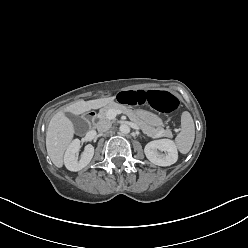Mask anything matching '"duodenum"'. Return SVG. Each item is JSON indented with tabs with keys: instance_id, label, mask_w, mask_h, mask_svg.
Here are the masks:
<instances>
[{
	"instance_id": "410a0bca",
	"label": "duodenum",
	"mask_w": 248,
	"mask_h": 248,
	"mask_svg": "<svg viewBox=\"0 0 248 248\" xmlns=\"http://www.w3.org/2000/svg\"><path fill=\"white\" fill-rule=\"evenodd\" d=\"M96 115H97V112L96 111H94V110H91V111H89L88 113H87V119H89V120H93L95 117H96Z\"/></svg>"
}]
</instances>
